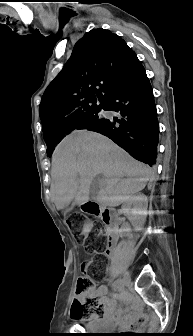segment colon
Listing matches in <instances>:
<instances>
[{"mask_svg":"<svg viewBox=\"0 0 193 336\" xmlns=\"http://www.w3.org/2000/svg\"><path fill=\"white\" fill-rule=\"evenodd\" d=\"M67 224L74 232L77 242L84 244L88 251L96 253L103 251V243L100 239L101 227L97 223L86 222L80 214H74L68 219ZM89 265L88 261L82 263L83 274L77 280L75 298L70 312V316L74 320L87 319L103 312L100 298L95 295H87L94 287L93 278L87 274Z\"/></svg>","mask_w":193,"mask_h":336,"instance_id":"1","label":"colon"}]
</instances>
